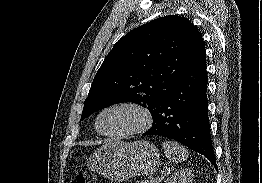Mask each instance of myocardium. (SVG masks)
<instances>
[{"label":"myocardium","mask_w":262,"mask_h":183,"mask_svg":"<svg viewBox=\"0 0 262 183\" xmlns=\"http://www.w3.org/2000/svg\"><path fill=\"white\" fill-rule=\"evenodd\" d=\"M117 108H131V109H134L140 112L143 117L142 124L132 130L122 132V133L111 134V133L104 132L100 127L102 116L106 112L113 110V109H117ZM152 123H153V115L147 106H145L142 103L135 102V101H121V102L110 104L107 107L103 108L97 116L95 125H96V130L101 135L107 138H111V139H119V138H126L132 135L144 133L152 126Z\"/></svg>","instance_id":"myocardium-1"}]
</instances>
